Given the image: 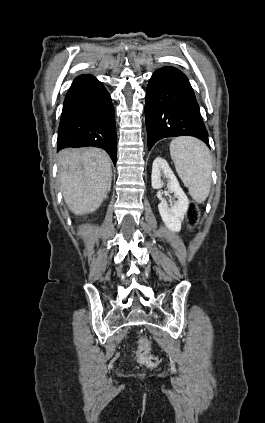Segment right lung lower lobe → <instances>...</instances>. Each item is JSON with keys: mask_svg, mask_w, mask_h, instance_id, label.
Masks as SVG:
<instances>
[{"mask_svg": "<svg viewBox=\"0 0 265 423\" xmlns=\"http://www.w3.org/2000/svg\"><path fill=\"white\" fill-rule=\"evenodd\" d=\"M86 146L104 149L116 165V128L110 95L96 78L80 75L64 100L57 149Z\"/></svg>", "mask_w": 265, "mask_h": 423, "instance_id": "obj_1", "label": "right lung lower lobe"}]
</instances>
